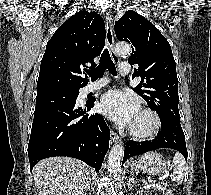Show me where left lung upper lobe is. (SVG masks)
Returning <instances> with one entry per match:
<instances>
[{
	"label": "left lung upper lobe",
	"instance_id": "5c2ea615",
	"mask_svg": "<svg viewBox=\"0 0 211 195\" xmlns=\"http://www.w3.org/2000/svg\"><path fill=\"white\" fill-rule=\"evenodd\" d=\"M119 41L131 43L130 65H138L132 78L141 77L133 89L159 115L160 120L180 121L178 78L169 42L147 19L127 11L115 22Z\"/></svg>",
	"mask_w": 211,
	"mask_h": 195
}]
</instances>
